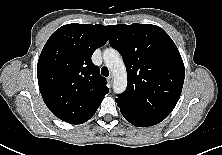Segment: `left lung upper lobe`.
Returning <instances> with one entry per match:
<instances>
[{
	"instance_id": "5c2ea615",
	"label": "left lung upper lobe",
	"mask_w": 222,
	"mask_h": 155,
	"mask_svg": "<svg viewBox=\"0 0 222 155\" xmlns=\"http://www.w3.org/2000/svg\"><path fill=\"white\" fill-rule=\"evenodd\" d=\"M110 45L123 57L128 86L117 100L167 117L181 95L185 68L169 35L159 26H106Z\"/></svg>"
}]
</instances>
